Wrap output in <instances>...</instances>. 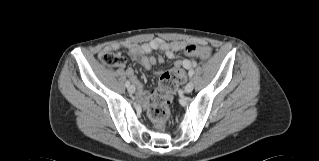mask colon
Returning <instances> with one entry per match:
<instances>
[{
    "label": "colon",
    "mask_w": 319,
    "mask_h": 161,
    "mask_svg": "<svg viewBox=\"0 0 319 161\" xmlns=\"http://www.w3.org/2000/svg\"><path fill=\"white\" fill-rule=\"evenodd\" d=\"M195 50V44H188L185 48L187 53H193ZM210 54L209 48H203L198 52V57L206 61ZM102 62L108 67H121L126 63V57L120 52L108 51L103 54ZM182 82L183 71L180 67H174L162 75L159 86L153 91L152 103L148 108L149 116L157 123L163 124L170 118L172 97Z\"/></svg>",
    "instance_id": "5ec220e1"
}]
</instances>
